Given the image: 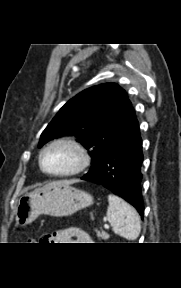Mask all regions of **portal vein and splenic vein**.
Returning a JSON list of instances; mask_svg holds the SVG:
<instances>
[{"mask_svg": "<svg viewBox=\"0 0 181 288\" xmlns=\"http://www.w3.org/2000/svg\"><path fill=\"white\" fill-rule=\"evenodd\" d=\"M104 228H105V229H109V225H108V224H105V225H104Z\"/></svg>", "mask_w": 181, "mask_h": 288, "instance_id": "1", "label": "portal vein and splenic vein"}]
</instances>
